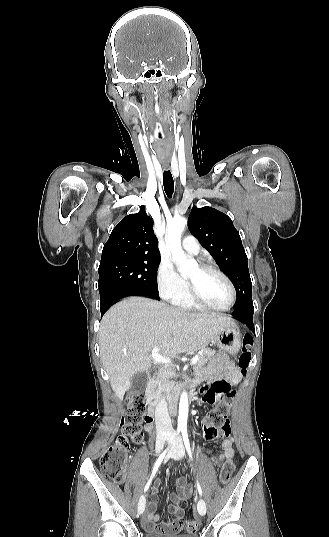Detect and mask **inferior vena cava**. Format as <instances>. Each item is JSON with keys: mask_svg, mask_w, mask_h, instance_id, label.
<instances>
[{"mask_svg": "<svg viewBox=\"0 0 329 537\" xmlns=\"http://www.w3.org/2000/svg\"><path fill=\"white\" fill-rule=\"evenodd\" d=\"M161 377L164 380L166 377L165 372H161ZM155 425L158 432H167L171 426V419L168 413L167 402L164 398H160L157 401L155 409Z\"/></svg>", "mask_w": 329, "mask_h": 537, "instance_id": "inferior-vena-cava-1", "label": "inferior vena cava"}]
</instances>
